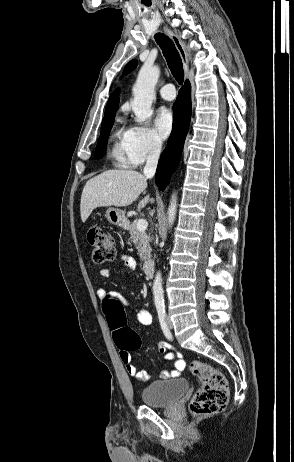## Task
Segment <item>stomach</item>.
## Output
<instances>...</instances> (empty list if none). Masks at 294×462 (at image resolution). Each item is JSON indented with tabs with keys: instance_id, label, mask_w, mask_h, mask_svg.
Here are the masks:
<instances>
[{
	"instance_id": "1",
	"label": "stomach",
	"mask_w": 294,
	"mask_h": 462,
	"mask_svg": "<svg viewBox=\"0 0 294 462\" xmlns=\"http://www.w3.org/2000/svg\"><path fill=\"white\" fill-rule=\"evenodd\" d=\"M105 216L107 220L113 225L124 228L128 224L127 219L125 217V212L121 209L109 208L107 209Z\"/></svg>"
}]
</instances>
